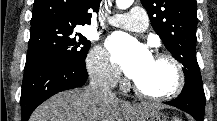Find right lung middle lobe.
<instances>
[{"instance_id":"1","label":"right lung middle lobe","mask_w":217,"mask_h":121,"mask_svg":"<svg viewBox=\"0 0 217 121\" xmlns=\"http://www.w3.org/2000/svg\"><path fill=\"white\" fill-rule=\"evenodd\" d=\"M88 41L76 25L55 21L31 24L25 67L42 63H67L85 69Z\"/></svg>"}]
</instances>
